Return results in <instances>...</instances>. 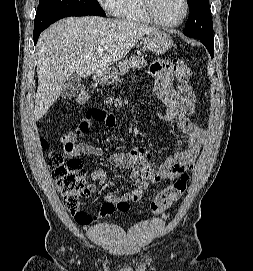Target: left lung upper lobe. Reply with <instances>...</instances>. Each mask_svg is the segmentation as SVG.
<instances>
[{
  "label": "left lung upper lobe",
  "mask_w": 253,
  "mask_h": 271,
  "mask_svg": "<svg viewBox=\"0 0 253 271\" xmlns=\"http://www.w3.org/2000/svg\"><path fill=\"white\" fill-rule=\"evenodd\" d=\"M190 15L184 34L188 37L214 40L209 0H188Z\"/></svg>",
  "instance_id": "1"
}]
</instances>
